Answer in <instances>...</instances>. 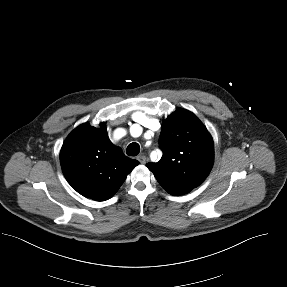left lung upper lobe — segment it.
Returning a JSON list of instances; mask_svg holds the SVG:
<instances>
[{
	"label": "left lung upper lobe",
	"mask_w": 287,
	"mask_h": 287,
	"mask_svg": "<svg viewBox=\"0 0 287 287\" xmlns=\"http://www.w3.org/2000/svg\"><path fill=\"white\" fill-rule=\"evenodd\" d=\"M159 144L162 158L147 167L171 195L190 192L210 173L214 162L213 139L192 112L177 109L169 115L162 122Z\"/></svg>",
	"instance_id": "left-lung-upper-lobe-1"
}]
</instances>
